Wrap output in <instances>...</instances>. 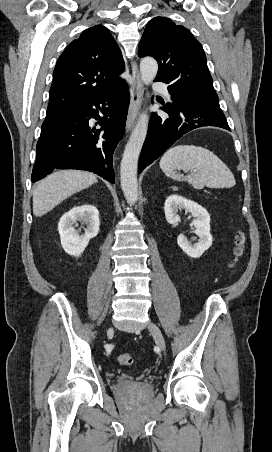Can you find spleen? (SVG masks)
<instances>
[{
	"mask_svg": "<svg viewBox=\"0 0 272 452\" xmlns=\"http://www.w3.org/2000/svg\"><path fill=\"white\" fill-rule=\"evenodd\" d=\"M160 168L166 176L177 181H187L196 189L231 188L236 182L226 164L206 148L194 145H178L164 153ZM190 172L180 176L175 170Z\"/></svg>",
	"mask_w": 272,
	"mask_h": 452,
	"instance_id": "3e777b00",
	"label": "spleen"
}]
</instances>
